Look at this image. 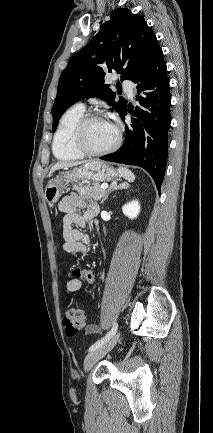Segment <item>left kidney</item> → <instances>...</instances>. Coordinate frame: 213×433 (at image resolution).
I'll return each mask as SVG.
<instances>
[{"instance_id":"5707ae66","label":"left kidney","mask_w":213,"mask_h":433,"mask_svg":"<svg viewBox=\"0 0 213 433\" xmlns=\"http://www.w3.org/2000/svg\"><path fill=\"white\" fill-rule=\"evenodd\" d=\"M124 215L129 219H135L140 213V204L138 200H133L122 207Z\"/></svg>"}]
</instances>
